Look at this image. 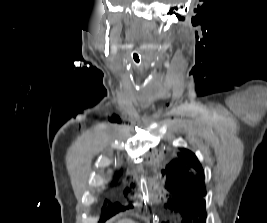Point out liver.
I'll return each instance as SVG.
<instances>
[{
    "mask_svg": "<svg viewBox=\"0 0 267 223\" xmlns=\"http://www.w3.org/2000/svg\"><path fill=\"white\" fill-rule=\"evenodd\" d=\"M118 223H135V222L129 219H124V220L119 221Z\"/></svg>",
    "mask_w": 267,
    "mask_h": 223,
    "instance_id": "liver-1",
    "label": "liver"
}]
</instances>
